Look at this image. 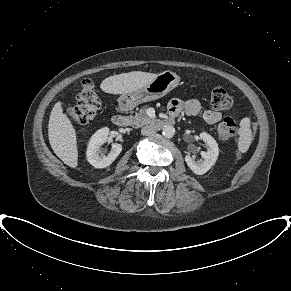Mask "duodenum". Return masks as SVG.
Returning a JSON list of instances; mask_svg holds the SVG:
<instances>
[{
    "label": "duodenum",
    "instance_id": "1",
    "mask_svg": "<svg viewBox=\"0 0 291 291\" xmlns=\"http://www.w3.org/2000/svg\"><path fill=\"white\" fill-rule=\"evenodd\" d=\"M125 108L122 107L121 111L117 113L116 115L113 116V123L119 127H125L129 124V119L127 115L124 113ZM174 124V119L173 118H168L162 121H159L157 125L159 127H164V126H169Z\"/></svg>",
    "mask_w": 291,
    "mask_h": 291
}]
</instances>
